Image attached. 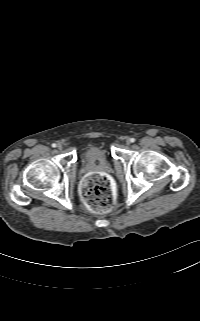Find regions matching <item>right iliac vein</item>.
Here are the masks:
<instances>
[{
	"instance_id": "63e3f726",
	"label": "right iliac vein",
	"mask_w": 200,
	"mask_h": 321,
	"mask_svg": "<svg viewBox=\"0 0 200 321\" xmlns=\"http://www.w3.org/2000/svg\"><path fill=\"white\" fill-rule=\"evenodd\" d=\"M57 148H58L59 150H61V149L63 148L62 144L59 143V144L57 145Z\"/></svg>"
}]
</instances>
